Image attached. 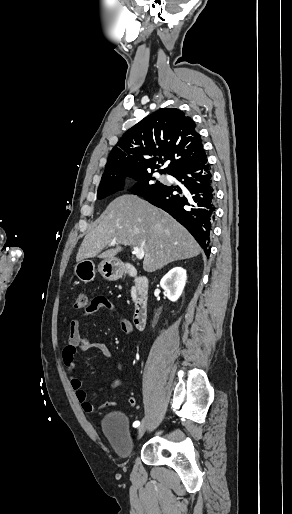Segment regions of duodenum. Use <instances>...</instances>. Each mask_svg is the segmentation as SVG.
I'll return each mask as SVG.
<instances>
[{
  "label": "duodenum",
  "mask_w": 292,
  "mask_h": 514,
  "mask_svg": "<svg viewBox=\"0 0 292 514\" xmlns=\"http://www.w3.org/2000/svg\"><path fill=\"white\" fill-rule=\"evenodd\" d=\"M126 273L134 279V324L137 329H142L148 317L149 280L147 277L138 274L132 265L127 266Z\"/></svg>",
  "instance_id": "410a0bca"
}]
</instances>
